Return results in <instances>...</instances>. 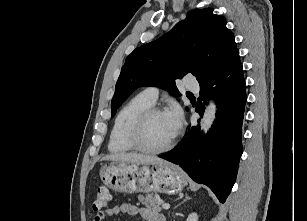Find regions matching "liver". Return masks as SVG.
Segmentation results:
<instances>
[{
    "instance_id": "6515ba94",
    "label": "liver",
    "mask_w": 307,
    "mask_h": 221,
    "mask_svg": "<svg viewBox=\"0 0 307 221\" xmlns=\"http://www.w3.org/2000/svg\"><path fill=\"white\" fill-rule=\"evenodd\" d=\"M102 160L128 163H150L163 161L162 159L155 156L143 155L138 153H115L103 157Z\"/></svg>"
}]
</instances>
